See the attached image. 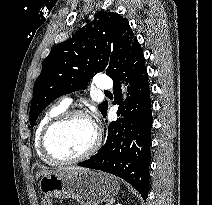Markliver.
Returning a JSON list of instances; mask_svg holds the SVG:
<instances>
[{"label": "liver", "mask_w": 212, "mask_h": 205, "mask_svg": "<svg viewBox=\"0 0 212 205\" xmlns=\"http://www.w3.org/2000/svg\"><path fill=\"white\" fill-rule=\"evenodd\" d=\"M59 170H87L85 168H82V167H75V166H72V167H66V168H61V169H58L56 171H59ZM52 172H55V171H51V172H44V171H40L36 174V179H38L41 175L43 174H47V173H52Z\"/></svg>", "instance_id": "obj_1"}]
</instances>
